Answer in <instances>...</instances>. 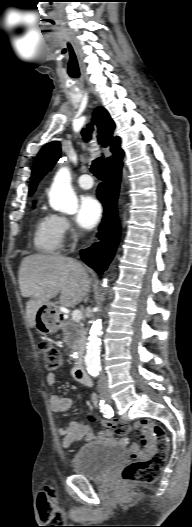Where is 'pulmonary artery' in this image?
I'll use <instances>...</instances> for the list:
<instances>
[{
	"instance_id": "e3ab8cb5",
	"label": "pulmonary artery",
	"mask_w": 192,
	"mask_h": 527,
	"mask_svg": "<svg viewBox=\"0 0 192 527\" xmlns=\"http://www.w3.org/2000/svg\"><path fill=\"white\" fill-rule=\"evenodd\" d=\"M78 184L83 189H90L93 187L94 182L89 174H83L78 178Z\"/></svg>"
}]
</instances>
